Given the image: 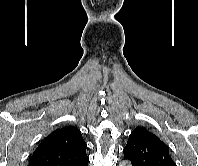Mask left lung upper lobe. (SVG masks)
<instances>
[{"label": "left lung upper lobe", "mask_w": 198, "mask_h": 166, "mask_svg": "<svg viewBox=\"0 0 198 166\" xmlns=\"http://www.w3.org/2000/svg\"><path fill=\"white\" fill-rule=\"evenodd\" d=\"M123 153L132 166H175L168 146L144 127L132 131Z\"/></svg>", "instance_id": "5c2ea615"}]
</instances>
